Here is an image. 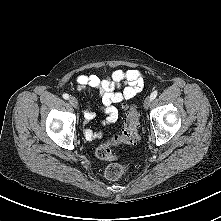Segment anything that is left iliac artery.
<instances>
[{
  "mask_svg": "<svg viewBox=\"0 0 221 221\" xmlns=\"http://www.w3.org/2000/svg\"><path fill=\"white\" fill-rule=\"evenodd\" d=\"M157 94H158L157 90L153 91L150 95L151 100H154L156 98Z\"/></svg>",
  "mask_w": 221,
  "mask_h": 221,
  "instance_id": "left-iliac-artery-1",
  "label": "left iliac artery"
}]
</instances>
